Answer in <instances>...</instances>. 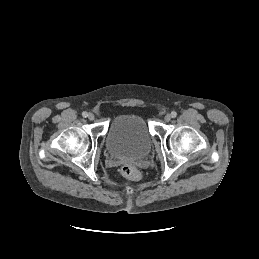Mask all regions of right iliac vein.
Wrapping results in <instances>:
<instances>
[{"label":"right iliac vein","instance_id":"63e3f726","mask_svg":"<svg viewBox=\"0 0 259 259\" xmlns=\"http://www.w3.org/2000/svg\"><path fill=\"white\" fill-rule=\"evenodd\" d=\"M87 117H88V119L91 120V121L94 120V118H95V116H94L93 113H89Z\"/></svg>","mask_w":259,"mask_h":259}]
</instances>
